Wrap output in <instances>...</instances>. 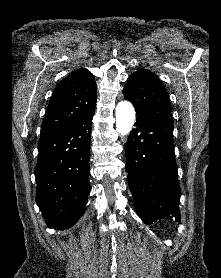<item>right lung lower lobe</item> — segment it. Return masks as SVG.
<instances>
[{
  "instance_id": "1",
  "label": "right lung lower lobe",
  "mask_w": 221,
  "mask_h": 278,
  "mask_svg": "<svg viewBox=\"0 0 221 278\" xmlns=\"http://www.w3.org/2000/svg\"><path fill=\"white\" fill-rule=\"evenodd\" d=\"M94 111L39 142L36 202L49 228L73 226L89 195V152Z\"/></svg>"
}]
</instances>
